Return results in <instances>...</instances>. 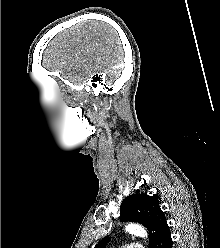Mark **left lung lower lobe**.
<instances>
[{
    "label": "left lung lower lobe",
    "instance_id": "obj_1",
    "mask_svg": "<svg viewBox=\"0 0 220 248\" xmlns=\"http://www.w3.org/2000/svg\"><path fill=\"white\" fill-rule=\"evenodd\" d=\"M172 239L167 225L152 248H172Z\"/></svg>",
    "mask_w": 220,
    "mask_h": 248
}]
</instances>
